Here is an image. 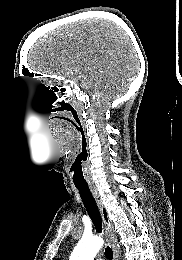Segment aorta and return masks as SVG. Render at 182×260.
Returning <instances> with one entry per match:
<instances>
[{"label":"aorta","instance_id":"762f6f07","mask_svg":"<svg viewBox=\"0 0 182 260\" xmlns=\"http://www.w3.org/2000/svg\"><path fill=\"white\" fill-rule=\"evenodd\" d=\"M103 246L101 237H82L78 242L69 260H93Z\"/></svg>","mask_w":182,"mask_h":260}]
</instances>
